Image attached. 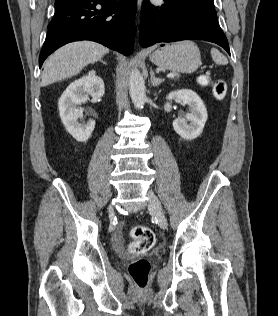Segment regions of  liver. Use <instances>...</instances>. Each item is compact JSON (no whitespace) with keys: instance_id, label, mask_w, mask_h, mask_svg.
Wrapping results in <instances>:
<instances>
[{"instance_id":"1","label":"liver","mask_w":278,"mask_h":316,"mask_svg":"<svg viewBox=\"0 0 278 316\" xmlns=\"http://www.w3.org/2000/svg\"><path fill=\"white\" fill-rule=\"evenodd\" d=\"M109 50L93 41L69 43L55 51L45 62L41 86L70 78L90 63L99 61Z\"/></svg>"}]
</instances>
